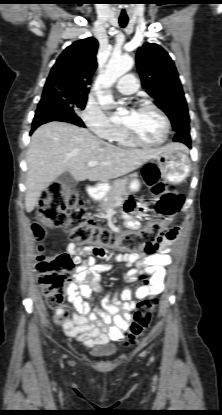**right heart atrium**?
I'll use <instances>...</instances> for the list:
<instances>
[{
	"label": "right heart atrium",
	"instance_id": "right-heart-atrium-1",
	"mask_svg": "<svg viewBox=\"0 0 222 415\" xmlns=\"http://www.w3.org/2000/svg\"><path fill=\"white\" fill-rule=\"evenodd\" d=\"M80 117L90 131L105 140H112L120 128L97 103L91 100L81 111Z\"/></svg>",
	"mask_w": 222,
	"mask_h": 415
}]
</instances>
